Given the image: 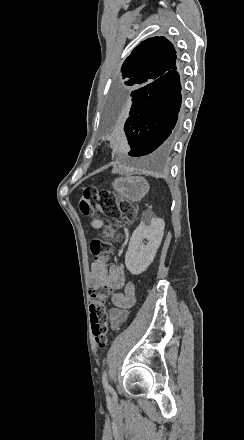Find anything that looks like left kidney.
Segmentation results:
<instances>
[{
    "mask_svg": "<svg viewBox=\"0 0 244 440\" xmlns=\"http://www.w3.org/2000/svg\"><path fill=\"white\" fill-rule=\"evenodd\" d=\"M165 228L164 220L151 218L142 220L134 230L125 256V266L133 276H139L152 264L161 244ZM143 240H148L143 244Z\"/></svg>",
    "mask_w": 244,
    "mask_h": 440,
    "instance_id": "1",
    "label": "left kidney"
}]
</instances>
